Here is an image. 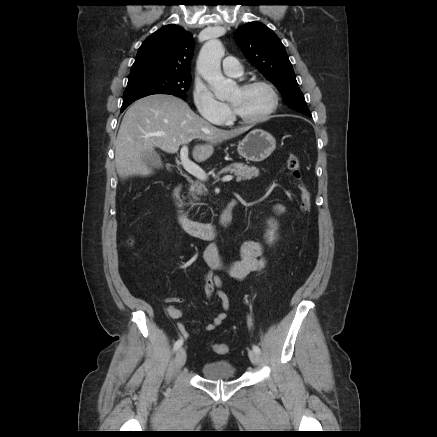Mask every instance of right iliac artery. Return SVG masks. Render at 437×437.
I'll return each mask as SVG.
<instances>
[{"label":"right iliac artery","mask_w":437,"mask_h":437,"mask_svg":"<svg viewBox=\"0 0 437 437\" xmlns=\"http://www.w3.org/2000/svg\"><path fill=\"white\" fill-rule=\"evenodd\" d=\"M183 345V339H178L174 344V351H177Z\"/></svg>","instance_id":"82829eb1"}]
</instances>
